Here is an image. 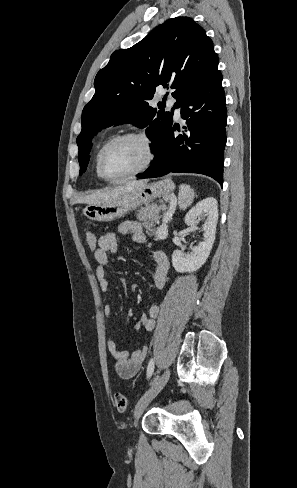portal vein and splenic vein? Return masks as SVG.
Instances as JSON below:
<instances>
[{"instance_id":"18ae733b","label":"portal vein and splenic vein","mask_w":297,"mask_h":488,"mask_svg":"<svg viewBox=\"0 0 297 488\" xmlns=\"http://www.w3.org/2000/svg\"><path fill=\"white\" fill-rule=\"evenodd\" d=\"M175 211V206H171L165 213L162 219V226L161 229H163L166 225V223L171 219L173 213Z\"/></svg>"}]
</instances>
